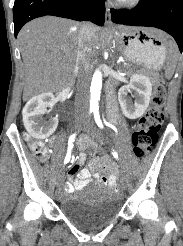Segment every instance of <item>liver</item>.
Listing matches in <instances>:
<instances>
[{
	"label": "liver",
	"instance_id": "obj_1",
	"mask_svg": "<svg viewBox=\"0 0 183 246\" xmlns=\"http://www.w3.org/2000/svg\"><path fill=\"white\" fill-rule=\"evenodd\" d=\"M81 26L75 21L46 16L21 29L18 41L24 62V100L45 92H59L69 85L76 64ZM153 31L166 41L165 33ZM101 40V28L94 26V35L86 45L89 62Z\"/></svg>",
	"mask_w": 183,
	"mask_h": 246
}]
</instances>
